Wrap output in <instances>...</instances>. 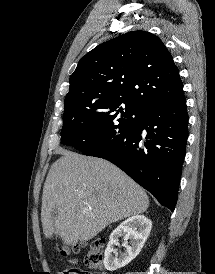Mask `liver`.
<instances>
[{
    "instance_id": "obj_1",
    "label": "liver",
    "mask_w": 215,
    "mask_h": 274,
    "mask_svg": "<svg viewBox=\"0 0 215 274\" xmlns=\"http://www.w3.org/2000/svg\"><path fill=\"white\" fill-rule=\"evenodd\" d=\"M46 177L41 222L46 238L66 245L94 238L106 226L145 212V191L112 163L60 150ZM56 208L58 215L51 217Z\"/></svg>"
}]
</instances>
